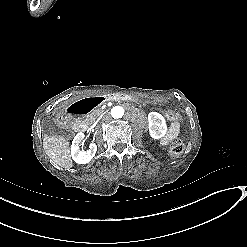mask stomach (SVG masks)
<instances>
[{
	"instance_id": "1",
	"label": "stomach",
	"mask_w": 247,
	"mask_h": 247,
	"mask_svg": "<svg viewBox=\"0 0 247 247\" xmlns=\"http://www.w3.org/2000/svg\"><path fill=\"white\" fill-rule=\"evenodd\" d=\"M162 102H163V103H167V101H163V100H162Z\"/></svg>"
}]
</instances>
